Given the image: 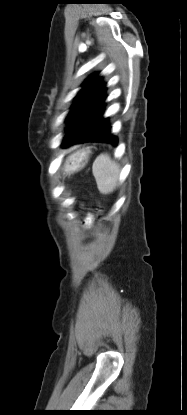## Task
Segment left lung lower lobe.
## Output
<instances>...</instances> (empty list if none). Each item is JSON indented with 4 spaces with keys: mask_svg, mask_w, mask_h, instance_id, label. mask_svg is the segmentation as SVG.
I'll use <instances>...</instances> for the list:
<instances>
[{
    "mask_svg": "<svg viewBox=\"0 0 187 415\" xmlns=\"http://www.w3.org/2000/svg\"><path fill=\"white\" fill-rule=\"evenodd\" d=\"M105 84L99 78L86 96L64 138V148L84 142H107L117 145V138L111 134L107 118H103Z\"/></svg>",
    "mask_w": 187,
    "mask_h": 415,
    "instance_id": "1",
    "label": "left lung lower lobe"
}]
</instances>
